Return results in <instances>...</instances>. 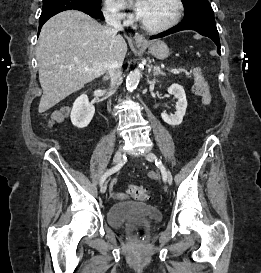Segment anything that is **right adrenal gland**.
<instances>
[{
    "instance_id": "obj_1",
    "label": "right adrenal gland",
    "mask_w": 261,
    "mask_h": 273,
    "mask_svg": "<svg viewBox=\"0 0 261 273\" xmlns=\"http://www.w3.org/2000/svg\"><path fill=\"white\" fill-rule=\"evenodd\" d=\"M107 79H109L107 75L103 77V80H107Z\"/></svg>"
}]
</instances>
